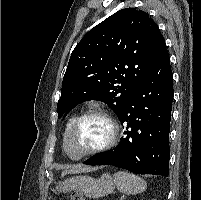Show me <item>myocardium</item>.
Returning <instances> with one entry per match:
<instances>
[{
  "instance_id": "f54148a6",
  "label": "myocardium",
  "mask_w": 201,
  "mask_h": 200,
  "mask_svg": "<svg viewBox=\"0 0 201 200\" xmlns=\"http://www.w3.org/2000/svg\"><path fill=\"white\" fill-rule=\"evenodd\" d=\"M90 117H99L103 119L108 127H109V135L107 140L100 146L93 148L91 150H88L86 152H83L79 155H74L71 146H70V138L71 135L76 128V126L84 119L90 118ZM118 135H119V127L114 119V117L106 110L103 109H91L88 111L83 112L79 116H77L72 123L70 124L69 128L66 131L65 137H64V151L67 154V156L72 159V160H80L84 157L96 155L103 153L112 147L117 143L118 140Z\"/></svg>"
}]
</instances>
